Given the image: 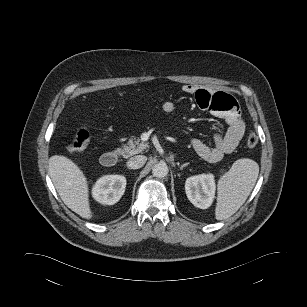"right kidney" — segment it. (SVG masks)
I'll return each instance as SVG.
<instances>
[{
	"label": "right kidney",
	"mask_w": 307,
	"mask_h": 307,
	"mask_svg": "<svg viewBox=\"0 0 307 307\" xmlns=\"http://www.w3.org/2000/svg\"><path fill=\"white\" fill-rule=\"evenodd\" d=\"M126 178L123 175H105L92 188L96 201L104 205L117 203L125 192Z\"/></svg>",
	"instance_id": "obj_1"
}]
</instances>
